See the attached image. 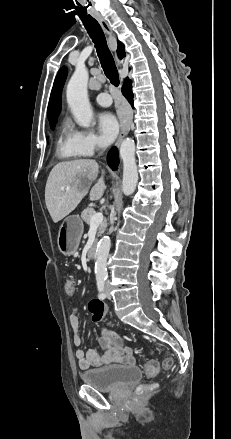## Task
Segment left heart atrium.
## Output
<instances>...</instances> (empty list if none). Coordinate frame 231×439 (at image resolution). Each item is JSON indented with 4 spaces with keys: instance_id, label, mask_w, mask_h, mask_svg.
<instances>
[{
    "instance_id": "left-heart-atrium-1",
    "label": "left heart atrium",
    "mask_w": 231,
    "mask_h": 439,
    "mask_svg": "<svg viewBox=\"0 0 231 439\" xmlns=\"http://www.w3.org/2000/svg\"><path fill=\"white\" fill-rule=\"evenodd\" d=\"M98 129L105 143H111L119 131V123L111 113H103L98 119Z\"/></svg>"
}]
</instances>
